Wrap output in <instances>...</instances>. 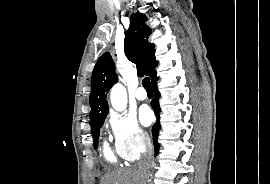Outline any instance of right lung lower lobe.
<instances>
[{
  "mask_svg": "<svg viewBox=\"0 0 270 184\" xmlns=\"http://www.w3.org/2000/svg\"><path fill=\"white\" fill-rule=\"evenodd\" d=\"M157 76L152 80V86H153V90H154V95L155 98L152 100L151 102V106L155 112V115L157 117V121L154 124L153 128H152V135H153V144H154V150H155V155L158 154L159 152V144L157 142V137H158V133H159V129H160V124H159V113L161 111L160 106H159V97H160V93L157 89Z\"/></svg>",
  "mask_w": 270,
  "mask_h": 184,
  "instance_id": "obj_1",
  "label": "right lung lower lobe"
}]
</instances>
